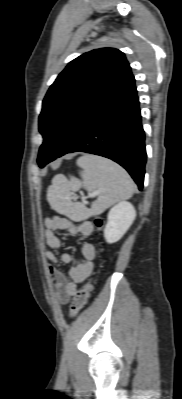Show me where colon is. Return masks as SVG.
Returning a JSON list of instances; mask_svg holds the SVG:
<instances>
[{"mask_svg": "<svg viewBox=\"0 0 182 399\" xmlns=\"http://www.w3.org/2000/svg\"><path fill=\"white\" fill-rule=\"evenodd\" d=\"M95 225L101 227L103 225V220L100 218L95 219ZM92 290V283L87 282L82 286V288L76 293V296L70 307V316L77 315L86 305L90 292Z\"/></svg>", "mask_w": 182, "mask_h": 399, "instance_id": "obj_1", "label": "colon"}]
</instances>
